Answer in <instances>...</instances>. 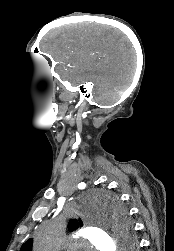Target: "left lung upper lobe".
Segmentation results:
<instances>
[{"label":"left lung upper lobe","mask_w":174,"mask_h":251,"mask_svg":"<svg viewBox=\"0 0 174 251\" xmlns=\"http://www.w3.org/2000/svg\"><path fill=\"white\" fill-rule=\"evenodd\" d=\"M108 204L114 213L113 218L116 220L117 227L123 228L124 230H127L126 226L123 225V223H121L125 218V211L120 206L118 200L116 198H110V199H108ZM111 215H112V213H111ZM79 225L82 226L81 220H79V223H78L76 219H72L69 221L68 230L73 231V230L77 229L79 227ZM32 243H33V240L29 239L26 243H24L22 245L20 251H32Z\"/></svg>","instance_id":"5c2ea615"}]
</instances>
